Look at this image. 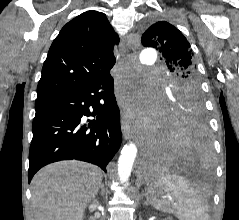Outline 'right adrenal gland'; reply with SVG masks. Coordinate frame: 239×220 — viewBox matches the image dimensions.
<instances>
[{"instance_id":"1","label":"right adrenal gland","mask_w":239,"mask_h":220,"mask_svg":"<svg viewBox=\"0 0 239 220\" xmlns=\"http://www.w3.org/2000/svg\"><path fill=\"white\" fill-rule=\"evenodd\" d=\"M99 189H101L102 194H103L104 191H105V187H104V184L102 182L100 183L99 187L97 188L96 193H98Z\"/></svg>"}]
</instances>
